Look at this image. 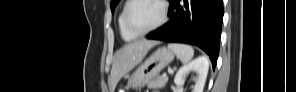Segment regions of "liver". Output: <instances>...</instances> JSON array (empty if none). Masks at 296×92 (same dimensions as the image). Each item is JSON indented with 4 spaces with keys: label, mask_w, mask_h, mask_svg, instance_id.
Wrapping results in <instances>:
<instances>
[{
    "label": "liver",
    "mask_w": 296,
    "mask_h": 92,
    "mask_svg": "<svg viewBox=\"0 0 296 92\" xmlns=\"http://www.w3.org/2000/svg\"><path fill=\"white\" fill-rule=\"evenodd\" d=\"M157 44V41L140 40L129 43L117 51L110 74V92H114L119 80L138 65L148 51Z\"/></svg>",
    "instance_id": "1"
}]
</instances>
